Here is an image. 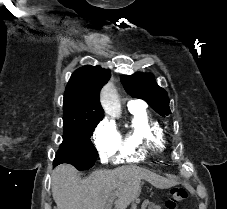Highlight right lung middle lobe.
Masks as SVG:
<instances>
[{"mask_svg": "<svg viewBox=\"0 0 227 209\" xmlns=\"http://www.w3.org/2000/svg\"><path fill=\"white\" fill-rule=\"evenodd\" d=\"M102 118L99 116L63 118V142L56 153L53 166L69 163L78 170L90 169L97 159V150L90 137Z\"/></svg>", "mask_w": 227, "mask_h": 209, "instance_id": "dd1d6c3e", "label": "right lung middle lobe"}]
</instances>
